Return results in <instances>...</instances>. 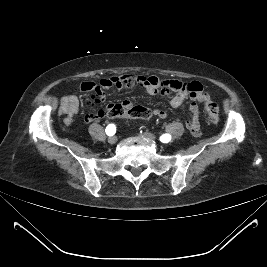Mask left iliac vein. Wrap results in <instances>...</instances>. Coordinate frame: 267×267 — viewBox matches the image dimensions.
I'll list each match as a JSON object with an SVG mask.
<instances>
[{
  "instance_id": "left-iliac-vein-1",
  "label": "left iliac vein",
  "mask_w": 267,
  "mask_h": 267,
  "mask_svg": "<svg viewBox=\"0 0 267 267\" xmlns=\"http://www.w3.org/2000/svg\"><path fill=\"white\" fill-rule=\"evenodd\" d=\"M142 137L147 138V139H149L151 141H156V137L153 134L149 133V132H144L142 134Z\"/></svg>"
}]
</instances>
